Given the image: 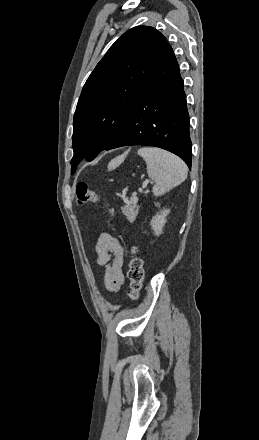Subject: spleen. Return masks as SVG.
<instances>
[{
	"label": "spleen",
	"instance_id": "3e777b00",
	"mask_svg": "<svg viewBox=\"0 0 259 440\" xmlns=\"http://www.w3.org/2000/svg\"><path fill=\"white\" fill-rule=\"evenodd\" d=\"M147 165L148 176L155 182L153 194L160 196L178 186L187 178V167L176 155L154 147L138 150Z\"/></svg>",
	"mask_w": 259,
	"mask_h": 440
}]
</instances>
